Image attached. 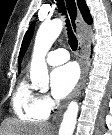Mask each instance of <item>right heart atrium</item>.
I'll list each match as a JSON object with an SVG mask.
<instances>
[{"instance_id": "obj_1", "label": "right heart atrium", "mask_w": 112, "mask_h": 135, "mask_svg": "<svg viewBox=\"0 0 112 135\" xmlns=\"http://www.w3.org/2000/svg\"><path fill=\"white\" fill-rule=\"evenodd\" d=\"M41 103L47 110L51 109L53 106V100L46 94L40 97Z\"/></svg>"}]
</instances>
